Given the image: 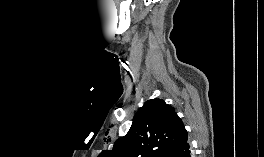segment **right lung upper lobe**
Here are the masks:
<instances>
[{
  "instance_id": "cb5924a9",
  "label": "right lung upper lobe",
  "mask_w": 264,
  "mask_h": 157,
  "mask_svg": "<svg viewBox=\"0 0 264 157\" xmlns=\"http://www.w3.org/2000/svg\"><path fill=\"white\" fill-rule=\"evenodd\" d=\"M187 140V131L175 109L162 99H153L137 111L128 133L118 138L105 156L170 157Z\"/></svg>"
}]
</instances>
